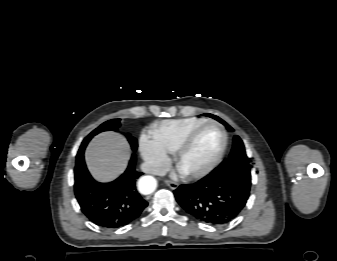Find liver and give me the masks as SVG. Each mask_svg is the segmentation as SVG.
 Here are the masks:
<instances>
[{"instance_id":"6515ba94","label":"liver","mask_w":337,"mask_h":261,"mask_svg":"<svg viewBox=\"0 0 337 261\" xmlns=\"http://www.w3.org/2000/svg\"><path fill=\"white\" fill-rule=\"evenodd\" d=\"M130 156L126 139L115 132H104L89 143L85 160L90 173L99 181L117 178L125 170Z\"/></svg>"}]
</instances>
